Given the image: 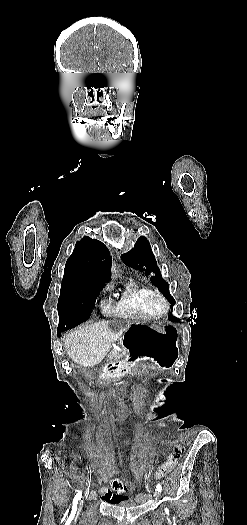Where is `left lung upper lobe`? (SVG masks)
<instances>
[{
    "mask_svg": "<svg viewBox=\"0 0 247 525\" xmlns=\"http://www.w3.org/2000/svg\"><path fill=\"white\" fill-rule=\"evenodd\" d=\"M121 257L126 264H130L136 269L142 271L144 270L145 274L155 273V276L151 277L152 283L157 286L165 298L171 302V308L173 307L175 300L169 293L168 284L161 276L159 267L157 266V262L147 238L144 236L140 237L135 243L134 248L128 253L123 254ZM170 320L179 321V319L173 317L172 315H170Z\"/></svg>",
    "mask_w": 247,
    "mask_h": 525,
    "instance_id": "obj_1",
    "label": "left lung upper lobe"
}]
</instances>
